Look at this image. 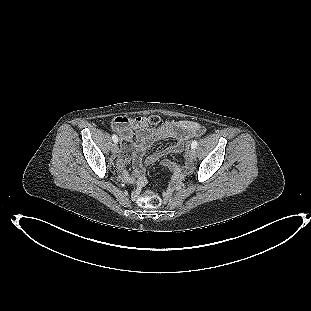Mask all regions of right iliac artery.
<instances>
[{"instance_id":"right-iliac-artery-1","label":"right iliac artery","mask_w":311,"mask_h":311,"mask_svg":"<svg viewBox=\"0 0 311 311\" xmlns=\"http://www.w3.org/2000/svg\"><path fill=\"white\" fill-rule=\"evenodd\" d=\"M112 140H113L114 142L117 143V142H118V137H117L116 135L113 134V135H112Z\"/></svg>"}]
</instances>
